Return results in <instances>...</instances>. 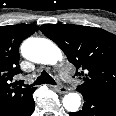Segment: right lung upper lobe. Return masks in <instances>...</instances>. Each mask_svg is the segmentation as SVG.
Returning a JSON list of instances; mask_svg holds the SVG:
<instances>
[{
    "instance_id": "cb5924a9",
    "label": "right lung upper lobe",
    "mask_w": 116,
    "mask_h": 116,
    "mask_svg": "<svg viewBox=\"0 0 116 116\" xmlns=\"http://www.w3.org/2000/svg\"><path fill=\"white\" fill-rule=\"evenodd\" d=\"M38 30L36 25H9L0 27V116H14L32 98L35 88L11 84L19 68L21 42Z\"/></svg>"
}]
</instances>
